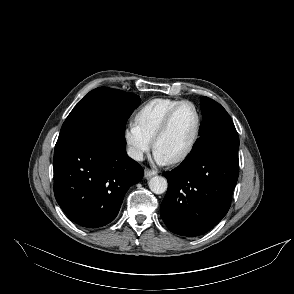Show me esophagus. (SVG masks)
Masks as SVG:
<instances>
[{"instance_id": "esophagus-1", "label": "esophagus", "mask_w": 294, "mask_h": 294, "mask_svg": "<svg viewBox=\"0 0 294 294\" xmlns=\"http://www.w3.org/2000/svg\"><path fill=\"white\" fill-rule=\"evenodd\" d=\"M154 175H156V171L151 170V169H149V168H145V169H144V177H145L146 179H149V178H151V177L154 176Z\"/></svg>"}]
</instances>
